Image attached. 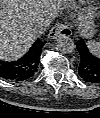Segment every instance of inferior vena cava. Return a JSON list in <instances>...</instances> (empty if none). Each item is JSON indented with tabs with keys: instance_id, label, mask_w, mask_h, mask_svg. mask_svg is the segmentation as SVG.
Returning <instances> with one entry per match:
<instances>
[{
	"instance_id": "inferior-vena-cava-1",
	"label": "inferior vena cava",
	"mask_w": 100,
	"mask_h": 118,
	"mask_svg": "<svg viewBox=\"0 0 100 118\" xmlns=\"http://www.w3.org/2000/svg\"><path fill=\"white\" fill-rule=\"evenodd\" d=\"M52 23V18L51 17H46L35 23L34 25V31L37 34H43L47 29L50 27Z\"/></svg>"
}]
</instances>
